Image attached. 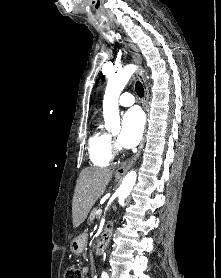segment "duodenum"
<instances>
[{"label":"duodenum","instance_id":"obj_1","mask_svg":"<svg viewBox=\"0 0 221 278\" xmlns=\"http://www.w3.org/2000/svg\"><path fill=\"white\" fill-rule=\"evenodd\" d=\"M112 230L113 228L111 227V224H107L105 226L101 238L97 241V243L94 246L95 255H101L104 253V251L106 250L110 242V236L112 234Z\"/></svg>","mask_w":221,"mask_h":278}]
</instances>
